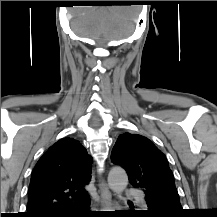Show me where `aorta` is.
I'll return each instance as SVG.
<instances>
[{"instance_id": "762f6f07", "label": "aorta", "mask_w": 217, "mask_h": 217, "mask_svg": "<svg viewBox=\"0 0 217 217\" xmlns=\"http://www.w3.org/2000/svg\"><path fill=\"white\" fill-rule=\"evenodd\" d=\"M108 185L118 197H121L128 185V176L125 170L120 167L112 168L108 174Z\"/></svg>"}]
</instances>
